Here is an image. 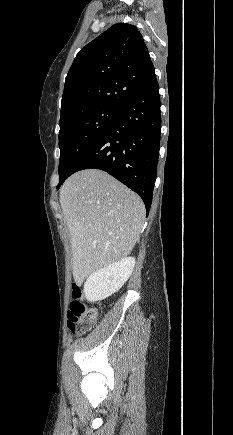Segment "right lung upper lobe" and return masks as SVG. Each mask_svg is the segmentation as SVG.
<instances>
[{
    "label": "right lung upper lobe",
    "instance_id": "obj_1",
    "mask_svg": "<svg viewBox=\"0 0 233 435\" xmlns=\"http://www.w3.org/2000/svg\"><path fill=\"white\" fill-rule=\"evenodd\" d=\"M156 77L141 33L117 23L83 47L65 79L60 122L101 106L121 108Z\"/></svg>",
    "mask_w": 233,
    "mask_h": 435
}]
</instances>
